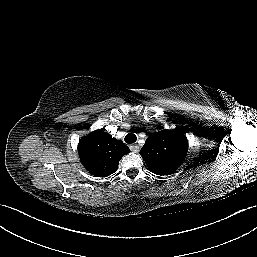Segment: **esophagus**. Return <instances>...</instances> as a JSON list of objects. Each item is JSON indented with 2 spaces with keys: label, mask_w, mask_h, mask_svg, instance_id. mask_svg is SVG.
<instances>
[{
  "label": "esophagus",
  "mask_w": 257,
  "mask_h": 257,
  "mask_svg": "<svg viewBox=\"0 0 257 257\" xmlns=\"http://www.w3.org/2000/svg\"><path fill=\"white\" fill-rule=\"evenodd\" d=\"M129 148H130V150H131L132 152H134V153H136V152L139 151V146L136 145V144H131V145L129 146Z\"/></svg>",
  "instance_id": "obj_1"
}]
</instances>
